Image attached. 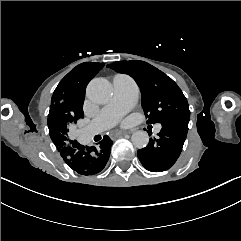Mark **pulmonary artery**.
Returning <instances> with one entry per match:
<instances>
[{"label":"pulmonary artery","instance_id":"e3ab8cb5","mask_svg":"<svg viewBox=\"0 0 241 241\" xmlns=\"http://www.w3.org/2000/svg\"><path fill=\"white\" fill-rule=\"evenodd\" d=\"M114 94L110 101L98 112L96 120L103 125H109L114 118L127 114L135 105L136 86L128 75H116L113 79ZM154 132L162 130L161 125L153 127Z\"/></svg>","mask_w":241,"mask_h":241}]
</instances>
